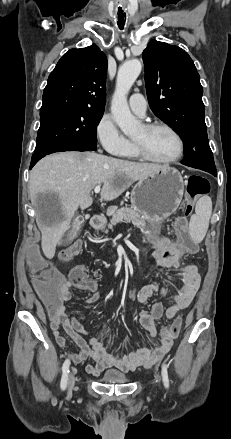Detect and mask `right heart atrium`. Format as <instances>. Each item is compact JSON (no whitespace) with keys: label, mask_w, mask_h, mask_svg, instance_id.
Returning a JSON list of instances; mask_svg holds the SVG:
<instances>
[{"label":"right heart atrium","mask_w":231,"mask_h":439,"mask_svg":"<svg viewBox=\"0 0 231 439\" xmlns=\"http://www.w3.org/2000/svg\"><path fill=\"white\" fill-rule=\"evenodd\" d=\"M96 137L103 149L114 156H123L129 149V141L122 135L113 117L103 114L96 124Z\"/></svg>","instance_id":"right-heart-atrium-1"}]
</instances>
